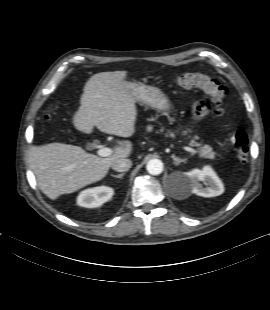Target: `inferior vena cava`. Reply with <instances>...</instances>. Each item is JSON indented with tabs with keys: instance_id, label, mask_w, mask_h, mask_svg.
<instances>
[{
	"instance_id": "obj_1",
	"label": "inferior vena cava",
	"mask_w": 270,
	"mask_h": 310,
	"mask_svg": "<svg viewBox=\"0 0 270 310\" xmlns=\"http://www.w3.org/2000/svg\"><path fill=\"white\" fill-rule=\"evenodd\" d=\"M132 162L127 158H120L113 162L112 169L118 172H124L131 168Z\"/></svg>"
}]
</instances>
